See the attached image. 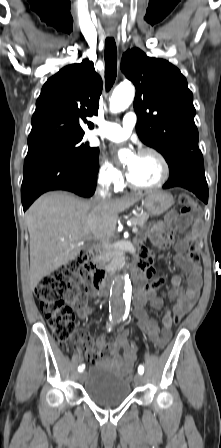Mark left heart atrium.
Returning a JSON list of instances; mask_svg holds the SVG:
<instances>
[{
	"mask_svg": "<svg viewBox=\"0 0 221 448\" xmlns=\"http://www.w3.org/2000/svg\"><path fill=\"white\" fill-rule=\"evenodd\" d=\"M132 169H133L132 165H129V166L127 167V172H128L129 175H130V173L132 172Z\"/></svg>",
	"mask_w": 221,
	"mask_h": 448,
	"instance_id": "left-heart-atrium-1",
	"label": "left heart atrium"
}]
</instances>
